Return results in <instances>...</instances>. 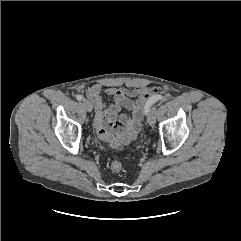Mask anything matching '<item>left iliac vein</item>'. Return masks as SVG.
<instances>
[{
    "label": "left iliac vein",
    "mask_w": 241,
    "mask_h": 241,
    "mask_svg": "<svg viewBox=\"0 0 241 241\" xmlns=\"http://www.w3.org/2000/svg\"><path fill=\"white\" fill-rule=\"evenodd\" d=\"M156 121V108L153 107L149 110L147 114V122L150 126H154Z\"/></svg>",
    "instance_id": "obj_1"
}]
</instances>
